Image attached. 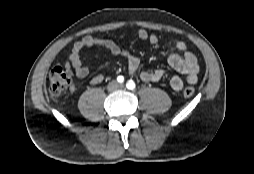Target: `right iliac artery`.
<instances>
[{"mask_svg": "<svg viewBox=\"0 0 254 174\" xmlns=\"http://www.w3.org/2000/svg\"><path fill=\"white\" fill-rule=\"evenodd\" d=\"M117 81H118L119 83H123V82H124V77H123V76H118V77H117Z\"/></svg>", "mask_w": 254, "mask_h": 174, "instance_id": "obj_1", "label": "right iliac artery"}]
</instances>
